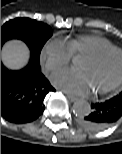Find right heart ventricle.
I'll return each instance as SVG.
<instances>
[{
  "instance_id": "obj_1",
  "label": "right heart ventricle",
  "mask_w": 122,
  "mask_h": 154,
  "mask_svg": "<svg viewBox=\"0 0 122 154\" xmlns=\"http://www.w3.org/2000/svg\"><path fill=\"white\" fill-rule=\"evenodd\" d=\"M72 56L88 55L97 51L115 47L108 39L99 35H81L66 41Z\"/></svg>"
}]
</instances>
